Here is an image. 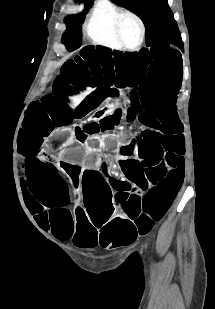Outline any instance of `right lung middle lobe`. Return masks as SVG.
Wrapping results in <instances>:
<instances>
[{
	"instance_id": "right-lung-middle-lobe-1",
	"label": "right lung middle lobe",
	"mask_w": 215,
	"mask_h": 309,
	"mask_svg": "<svg viewBox=\"0 0 215 309\" xmlns=\"http://www.w3.org/2000/svg\"><path fill=\"white\" fill-rule=\"evenodd\" d=\"M84 13L87 12L91 6L90 3H85ZM83 14H78L70 20V25L68 30L62 38V42L67 46L69 51H73L80 47L81 45V21Z\"/></svg>"
}]
</instances>
